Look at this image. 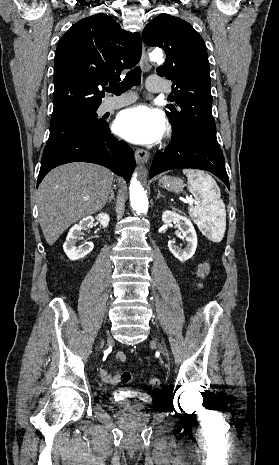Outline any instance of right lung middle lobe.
<instances>
[{
	"mask_svg": "<svg viewBox=\"0 0 279 465\" xmlns=\"http://www.w3.org/2000/svg\"><path fill=\"white\" fill-rule=\"evenodd\" d=\"M106 125L107 122L97 119L96 109H94L60 124L50 126V135L43 155L79 134L96 131Z\"/></svg>",
	"mask_w": 279,
	"mask_h": 465,
	"instance_id": "right-lung-middle-lobe-1",
	"label": "right lung middle lobe"
}]
</instances>
